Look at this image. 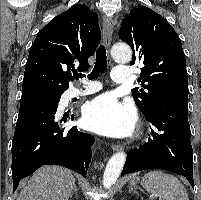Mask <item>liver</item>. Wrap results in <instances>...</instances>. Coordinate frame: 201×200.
Returning a JSON list of instances; mask_svg holds the SVG:
<instances>
[{
    "label": "liver",
    "instance_id": "6515ba94",
    "mask_svg": "<svg viewBox=\"0 0 201 200\" xmlns=\"http://www.w3.org/2000/svg\"><path fill=\"white\" fill-rule=\"evenodd\" d=\"M75 186L71 171L59 166L37 170L17 200H68Z\"/></svg>",
    "mask_w": 201,
    "mask_h": 200
}]
</instances>
